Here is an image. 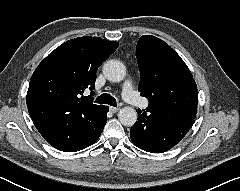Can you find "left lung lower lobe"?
Masks as SVG:
<instances>
[{"label":"left lung lower lobe","instance_id":"0a47b994","mask_svg":"<svg viewBox=\"0 0 240 191\" xmlns=\"http://www.w3.org/2000/svg\"><path fill=\"white\" fill-rule=\"evenodd\" d=\"M189 129L183 125L155 120L147 109L143 113L138 110V121L131 127L130 137L142 150L162 153L183 139Z\"/></svg>","mask_w":240,"mask_h":191}]
</instances>
